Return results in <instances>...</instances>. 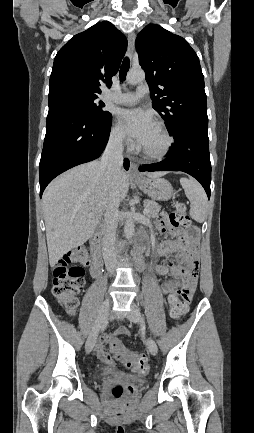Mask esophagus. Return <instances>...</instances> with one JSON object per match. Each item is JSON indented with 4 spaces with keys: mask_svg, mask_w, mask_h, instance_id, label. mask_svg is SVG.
Listing matches in <instances>:
<instances>
[{
    "mask_svg": "<svg viewBox=\"0 0 254 433\" xmlns=\"http://www.w3.org/2000/svg\"><path fill=\"white\" fill-rule=\"evenodd\" d=\"M134 42H135V34L133 32L128 34V55L130 57V59L133 58V54H134ZM129 176L132 178H140L141 175L138 172L137 169V164L134 162L130 163V168H129Z\"/></svg>",
    "mask_w": 254,
    "mask_h": 433,
    "instance_id": "esophagus-1",
    "label": "esophagus"
}]
</instances>
